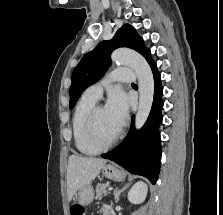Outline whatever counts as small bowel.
I'll return each mask as SVG.
<instances>
[{"mask_svg":"<svg viewBox=\"0 0 223 215\" xmlns=\"http://www.w3.org/2000/svg\"><path fill=\"white\" fill-rule=\"evenodd\" d=\"M103 215H111L108 209L103 210Z\"/></svg>","mask_w":223,"mask_h":215,"instance_id":"c3829d8e","label":"small bowel"}]
</instances>
